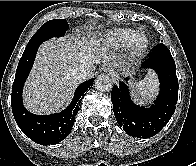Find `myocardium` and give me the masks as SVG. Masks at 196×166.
I'll use <instances>...</instances> for the list:
<instances>
[{
    "instance_id": "1",
    "label": "myocardium",
    "mask_w": 196,
    "mask_h": 166,
    "mask_svg": "<svg viewBox=\"0 0 196 166\" xmlns=\"http://www.w3.org/2000/svg\"><path fill=\"white\" fill-rule=\"evenodd\" d=\"M141 35L143 37V42L140 45L134 43V39ZM129 50L133 56L141 57L143 56L149 47V38L145 31L139 30L132 32L128 40Z\"/></svg>"
}]
</instances>
